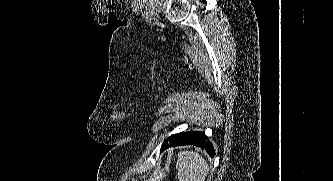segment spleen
<instances>
[{
    "mask_svg": "<svg viewBox=\"0 0 333 181\" xmlns=\"http://www.w3.org/2000/svg\"><path fill=\"white\" fill-rule=\"evenodd\" d=\"M176 168L179 181H205L209 173L207 161L193 151H180Z\"/></svg>",
    "mask_w": 333,
    "mask_h": 181,
    "instance_id": "spleen-1",
    "label": "spleen"
}]
</instances>
